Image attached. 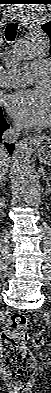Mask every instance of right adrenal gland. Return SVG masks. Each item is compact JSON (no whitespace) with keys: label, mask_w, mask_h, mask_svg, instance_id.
Returning <instances> with one entry per match:
<instances>
[{"label":"right adrenal gland","mask_w":51,"mask_h":393,"mask_svg":"<svg viewBox=\"0 0 51 393\" xmlns=\"http://www.w3.org/2000/svg\"><path fill=\"white\" fill-rule=\"evenodd\" d=\"M6 181V178H5V176H4V174H1V177H0V188L2 189L3 188V186H4V182Z\"/></svg>","instance_id":"right-adrenal-gland-1"}]
</instances>
